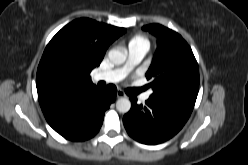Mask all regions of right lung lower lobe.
I'll use <instances>...</instances> for the list:
<instances>
[{"label": "right lung lower lobe", "instance_id": "98d812e1", "mask_svg": "<svg viewBox=\"0 0 248 165\" xmlns=\"http://www.w3.org/2000/svg\"><path fill=\"white\" fill-rule=\"evenodd\" d=\"M117 88L110 84L55 111L44 113L49 125L72 141L92 138L100 130L105 111L115 101Z\"/></svg>", "mask_w": 248, "mask_h": 165}]
</instances>
